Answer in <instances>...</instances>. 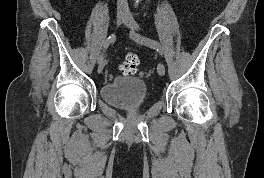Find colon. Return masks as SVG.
<instances>
[{
  "instance_id": "5ec220e1",
  "label": "colon",
  "mask_w": 264,
  "mask_h": 178,
  "mask_svg": "<svg viewBox=\"0 0 264 178\" xmlns=\"http://www.w3.org/2000/svg\"><path fill=\"white\" fill-rule=\"evenodd\" d=\"M138 66H139L138 55L135 53H128L126 54L120 65V70L125 75L133 76L137 73Z\"/></svg>"
}]
</instances>
